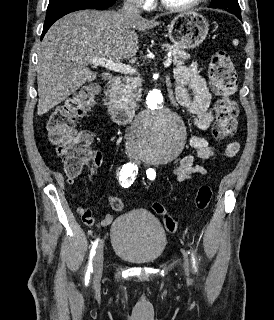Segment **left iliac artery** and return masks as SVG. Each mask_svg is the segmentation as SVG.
I'll use <instances>...</instances> for the list:
<instances>
[{"label":"left iliac artery","instance_id":"44dca946","mask_svg":"<svg viewBox=\"0 0 274 320\" xmlns=\"http://www.w3.org/2000/svg\"><path fill=\"white\" fill-rule=\"evenodd\" d=\"M146 174H147V177H148L150 180H153V179H155V177H156V172H155L154 169H152V168L147 169ZM192 261H193V266H194V268H195V270H196V266H195V264H196V259H195V256H194L193 253H192Z\"/></svg>","mask_w":274,"mask_h":320}]
</instances>
